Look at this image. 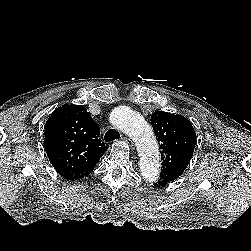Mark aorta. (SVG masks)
<instances>
[{"mask_svg": "<svg viewBox=\"0 0 251 251\" xmlns=\"http://www.w3.org/2000/svg\"><path fill=\"white\" fill-rule=\"evenodd\" d=\"M110 121L136 142L143 178L149 182L157 180L160 173L159 150L150 125L140 114L125 106L115 108Z\"/></svg>", "mask_w": 251, "mask_h": 251, "instance_id": "1", "label": "aorta"}]
</instances>
